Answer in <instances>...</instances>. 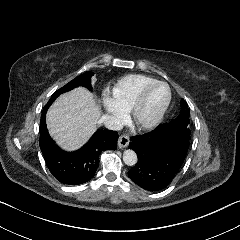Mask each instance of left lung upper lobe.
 I'll return each mask as SVG.
<instances>
[{
  "instance_id": "5c2ea615",
  "label": "left lung upper lobe",
  "mask_w": 240,
  "mask_h": 240,
  "mask_svg": "<svg viewBox=\"0 0 240 240\" xmlns=\"http://www.w3.org/2000/svg\"><path fill=\"white\" fill-rule=\"evenodd\" d=\"M189 118H190V111H189L188 105H187L186 101L184 99H182L181 100V111H180V114L173 121L176 122V123H181V124H183L185 126H188L189 123H190Z\"/></svg>"
}]
</instances>
